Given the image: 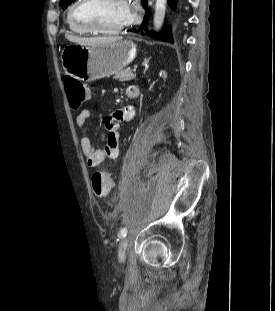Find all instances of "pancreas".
<instances>
[{
	"instance_id": "obj_1",
	"label": "pancreas",
	"mask_w": 275,
	"mask_h": 311,
	"mask_svg": "<svg viewBox=\"0 0 275 311\" xmlns=\"http://www.w3.org/2000/svg\"><path fill=\"white\" fill-rule=\"evenodd\" d=\"M114 78L116 80L125 82V81L133 80L135 78V74L132 73L129 69H125V70H122V71L116 73Z\"/></svg>"
}]
</instances>
